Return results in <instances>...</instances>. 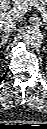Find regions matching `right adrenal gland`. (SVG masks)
I'll return each instance as SVG.
<instances>
[{
	"instance_id": "2a0ac1e0",
	"label": "right adrenal gland",
	"mask_w": 47,
	"mask_h": 129,
	"mask_svg": "<svg viewBox=\"0 0 47 129\" xmlns=\"http://www.w3.org/2000/svg\"><path fill=\"white\" fill-rule=\"evenodd\" d=\"M8 37H9V35L1 33V35H0V39H1L0 45H4L6 43V39Z\"/></svg>"
}]
</instances>
